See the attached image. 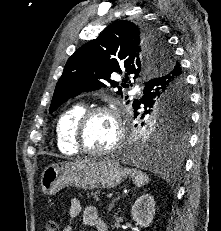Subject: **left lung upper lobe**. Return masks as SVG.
Instances as JSON below:
<instances>
[{"mask_svg": "<svg viewBox=\"0 0 221 231\" xmlns=\"http://www.w3.org/2000/svg\"><path fill=\"white\" fill-rule=\"evenodd\" d=\"M172 55L166 39L156 27L147 24L136 25L126 20L116 21L96 39L77 49L68 59L57 82L50 111H54L60 104L82 91L106 87L105 81L112 87H117L118 82L110 79L113 72L121 74L125 71L128 75L135 74L137 77L150 72L161 75L171 71L176 65L179 68V62L172 61ZM127 74L122 87H129ZM118 89L117 94L121 95L122 88ZM172 91L171 94L145 100L142 107L134 100L135 116L140 114L137 110L142 108L141 118L150 116L155 121V128L149 137L156 135L162 138L166 134L170 140L186 137L185 130L189 121L188 94L180 87ZM176 98L183 99L184 105L172 104Z\"/></svg>", "mask_w": 221, "mask_h": 231, "instance_id": "1", "label": "left lung upper lobe"}]
</instances>
